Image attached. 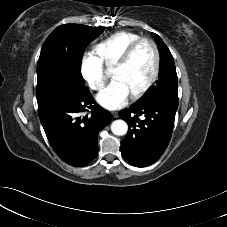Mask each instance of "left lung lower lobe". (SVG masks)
Here are the masks:
<instances>
[{
  "label": "left lung lower lobe",
  "mask_w": 227,
  "mask_h": 227,
  "mask_svg": "<svg viewBox=\"0 0 227 227\" xmlns=\"http://www.w3.org/2000/svg\"><path fill=\"white\" fill-rule=\"evenodd\" d=\"M177 108L178 103L156 98L119 112L129 126L121 142V154L127 163L146 167L161 157L171 139Z\"/></svg>",
  "instance_id": "left-lung-lower-lobe-1"
}]
</instances>
